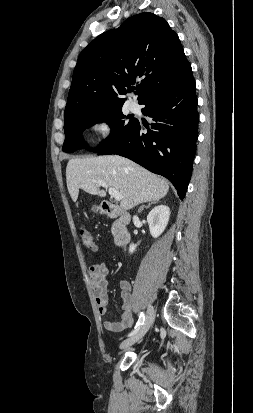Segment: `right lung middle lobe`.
I'll use <instances>...</instances> for the list:
<instances>
[{"instance_id": "dd1d6c3e", "label": "right lung middle lobe", "mask_w": 253, "mask_h": 413, "mask_svg": "<svg viewBox=\"0 0 253 413\" xmlns=\"http://www.w3.org/2000/svg\"><path fill=\"white\" fill-rule=\"evenodd\" d=\"M124 118L125 115L122 113V107L90 111L72 117L64 123L65 141L62 150L71 153L78 149L86 148L87 145L83 140L82 132L97 122L105 121L109 124L111 133L108 138L93 150V152H99L119 139L136 121L131 119L126 123Z\"/></svg>"}]
</instances>
